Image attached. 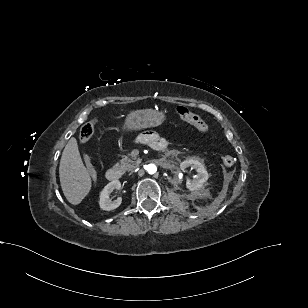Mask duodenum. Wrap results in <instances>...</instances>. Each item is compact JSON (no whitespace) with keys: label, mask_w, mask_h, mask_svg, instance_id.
<instances>
[{"label":"duodenum","mask_w":308,"mask_h":308,"mask_svg":"<svg viewBox=\"0 0 308 308\" xmlns=\"http://www.w3.org/2000/svg\"><path fill=\"white\" fill-rule=\"evenodd\" d=\"M164 147H165V143L161 142V143L158 144L157 149H162ZM121 177H122V173H121L120 169H118L116 167L109 168L106 171V178L109 181H117Z\"/></svg>","instance_id":"1"}]
</instances>
